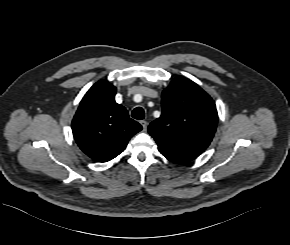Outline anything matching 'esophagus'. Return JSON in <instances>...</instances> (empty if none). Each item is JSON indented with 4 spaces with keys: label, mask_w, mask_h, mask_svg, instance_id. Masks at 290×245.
<instances>
[{
    "label": "esophagus",
    "mask_w": 290,
    "mask_h": 245,
    "mask_svg": "<svg viewBox=\"0 0 290 245\" xmlns=\"http://www.w3.org/2000/svg\"><path fill=\"white\" fill-rule=\"evenodd\" d=\"M140 124L142 125L143 130L146 131V130H147V125H148L147 121H145V120H141V121H140Z\"/></svg>",
    "instance_id": "obj_1"
}]
</instances>
